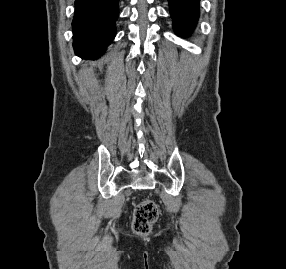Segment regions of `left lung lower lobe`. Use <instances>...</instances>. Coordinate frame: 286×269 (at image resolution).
I'll use <instances>...</instances> for the list:
<instances>
[{
  "label": "left lung lower lobe",
  "instance_id": "0a47b994",
  "mask_svg": "<svg viewBox=\"0 0 286 269\" xmlns=\"http://www.w3.org/2000/svg\"><path fill=\"white\" fill-rule=\"evenodd\" d=\"M174 30L181 36L188 35L199 17V0H168Z\"/></svg>",
  "mask_w": 286,
  "mask_h": 269
}]
</instances>
